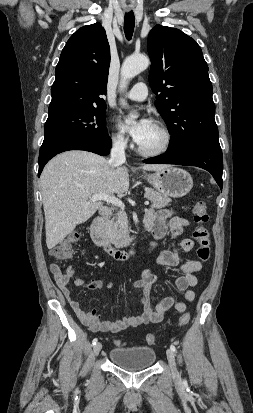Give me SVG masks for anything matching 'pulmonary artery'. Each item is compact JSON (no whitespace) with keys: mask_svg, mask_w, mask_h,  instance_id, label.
I'll use <instances>...</instances> for the list:
<instances>
[{"mask_svg":"<svg viewBox=\"0 0 253 413\" xmlns=\"http://www.w3.org/2000/svg\"><path fill=\"white\" fill-rule=\"evenodd\" d=\"M148 95V89L145 83L138 82L126 94V97L132 101H143Z\"/></svg>","mask_w":253,"mask_h":413,"instance_id":"e3ab8cb5","label":"pulmonary artery"}]
</instances>
